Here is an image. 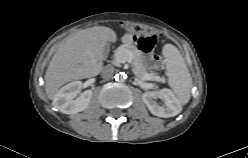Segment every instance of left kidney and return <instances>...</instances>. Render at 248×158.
<instances>
[{
	"instance_id": "obj_1",
	"label": "left kidney",
	"mask_w": 248,
	"mask_h": 158,
	"mask_svg": "<svg viewBox=\"0 0 248 158\" xmlns=\"http://www.w3.org/2000/svg\"><path fill=\"white\" fill-rule=\"evenodd\" d=\"M157 99L163 102L161 106ZM142 100L150 110V112L158 117H173L181 112V104L173 94V92L167 88L155 91H147L143 93Z\"/></svg>"
}]
</instances>
